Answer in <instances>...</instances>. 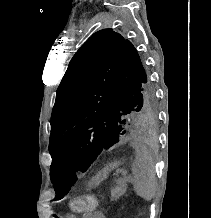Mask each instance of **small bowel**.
<instances>
[{
  "instance_id": "1",
  "label": "small bowel",
  "mask_w": 211,
  "mask_h": 218,
  "mask_svg": "<svg viewBox=\"0 0 211 218\" xmlns=\"http://www.w3.org/2000/svg\"><path fill=\"white\" fill-rule=\"evenodd\" d=\"M84 218H104L102 212L98 210H90L85 213Z\"/></svg>"
}]
</instances>
